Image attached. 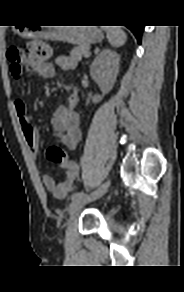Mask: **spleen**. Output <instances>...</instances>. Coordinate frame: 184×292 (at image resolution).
Wrapping results in <instances>:
<instances>
[{
  "instance_id": "3e777b00",
  "label": "spleen",
  "mask_w": 184,
  "mask_h": 292,
  "mask_svg": "<svg viewBox=\"0 0 184 292\" xmlns=\"http://www.w3.org/2000/svg\"><path fill=\"white\" fill-rule=\"evenodd\" d=\"M103 30L106 31L107 39L112 47H120L125 44L127 35L120 27L105 26Z\"/></svg>"
}]
</instances>
